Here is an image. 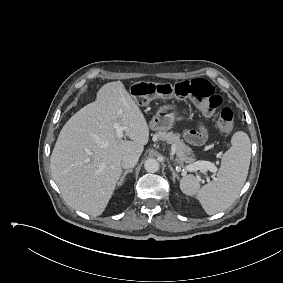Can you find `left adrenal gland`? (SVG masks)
I'll use <instances>...</instances> for the list:
<instances>
[{"label": "left adrenal gland", "instance_id": "obj_1", "mask_svg": "<svg viewBox=\"0 0 283 283\" xmlns=\"http://www.w3.org/2000/svg\"><path fill=\"white\" fill-rule=\"evenodd\" d=\"M170 170L172 171V175H173V182H175V179H179V176L177 175V173L174 171V169L171 167V165H169Z\"/></svg>", "mask_w": 283, "mask_h": 283}]
</instances>
